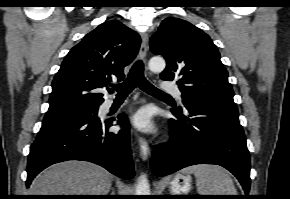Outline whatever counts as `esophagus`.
I'll return each mask as SVG.
<instances>
[{
    "mask_svg": "<svg viewBox=\"0 0 290 199\" xmlns=\"http://www.w3.org/2000/svg\"><path fill=\"white\" fill-rule=\"evenodd\" d=\"M148 50V36L146 33L141 35V48H140V57L145 60ZM138 144L140 149V155L143 160H146L150 155V147L148 142L143 137H138Z\"/></svg>",
    "mask_w": 290,
    "mask_h": 199,
    "instance_id": "34e87169",
    "label": "esophagus"
}]
</instances>
